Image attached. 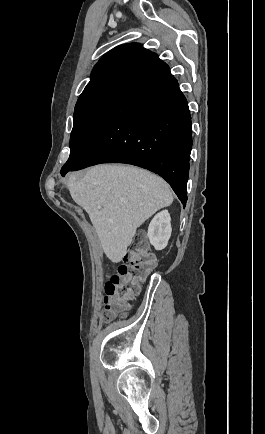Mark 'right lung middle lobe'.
Instances as JSON below:
<instances>
[{
    "instance_id": "obj_1",
    "label": "right lung middle lobe",
    "mask_w": 265,
    "mask_h": 434,
    "mask_svg": "<svg viewBox=\"0 0 265 434\" xmlns=\"http://www.w3.org/2000/svg\"><path fill=\"white\" fill-rule=\"evenodd\" d=\"M133 77L130 74L113 75L85 87L74 110L70 156L61 171L73 167L84 156Z\"/></svg>"
}]
</instances>
